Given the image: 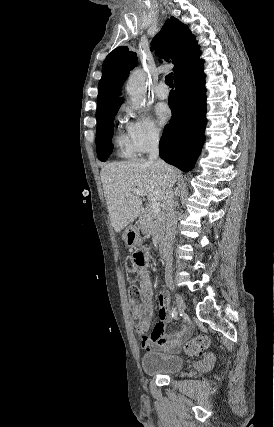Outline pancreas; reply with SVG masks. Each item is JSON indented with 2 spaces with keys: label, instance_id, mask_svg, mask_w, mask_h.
Instances as JSON below:
<instances>
[{
  "label": "pancreas",
  "instance_id": "cf45deb5",
  "mask_svg": "<svg viewBox=\"0 0 274 427\" xmlns=\"http://www.w3.org/2000/svg\"><path fill=\"white\" fill-rule=\"evenodd\" d=\"M165 212H159V214H153L148 208L142 210V214L139 217V225L143 233H151L158 239L164 237V221Z\"/></svg>",
  "mask_w": 274,
  "mask_h": 427
}]
</instances>
